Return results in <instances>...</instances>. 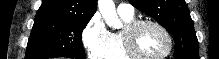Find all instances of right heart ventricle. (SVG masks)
I'll use <instances>...</instances> for the list:
<instances>
[{
    "label": "right heart ventricle",
    "mask_w": 219,
    "mask_h": 59,
    "mask_svg": "<svg viewBox=\"0 0 219 59\" xmlns=\"http://www.w3.org/2000/svg\"><path fill=\"white\" fill-rule=\"evenodd\" d=\"M119 15L125 25L136 20L134 15ZM102 59H132L124 49L122 31L110 34L109 46Z\"/></svg>",
    "instance_id": "e07e8e85"
}]
</instances>
